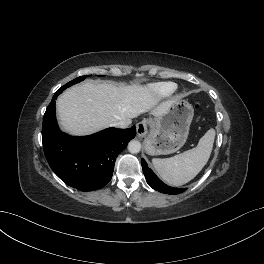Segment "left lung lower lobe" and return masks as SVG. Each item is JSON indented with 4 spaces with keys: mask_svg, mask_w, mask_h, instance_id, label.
Segmentation results:
<instances>
[{
    "mask_svg": "<svg viewBox=\"0 0 264 264\" xmlns=\"http://www.w3.org/2000/svg\"><path fill=\"white\" fill-rule=\"evenodd\" d=\"M141 164L143 168V173L145 175L147 183L156 191L165 193V194H178L186 189L181 188H173L166 184H164L155 174L154 172L148 167L146 161L144 159H141Z\"/></svg>",
    "mask_w": 264,
    "mask_h": 264,
    "instance_id": "0a47b994",
    "label": "left lung lower lobe"
}]
</instances>
